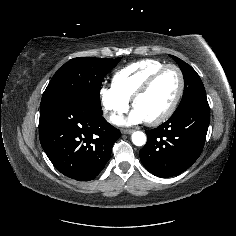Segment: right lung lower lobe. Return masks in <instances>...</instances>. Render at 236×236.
I'll return each instance as SVG.
<instances>
[{
	"instance_id": "98d812e1",
	"label": "right lung lower lobe",
	"mask_w": 236,
	"mask_h": 236,
	"mask_svg": "<svg viewBox=\"0 0 236 236\" xmlns=\"http://www.w3.org/2000/svg\"><path fill=\"white\" fill-rule=\"evenodd\" d=\"M102 114L101 109L74 98H59L41 106L40 143L65 176L90 181L105 167L121 133Z\"/></svg>"
}]
</instances>
